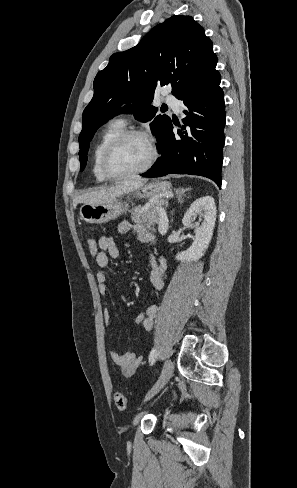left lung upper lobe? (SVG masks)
Listing matches in <instances>:
<instances>
[{
    "label": "left lung upper lobe",
    "mask_w": 297,
    "mask_h": 488,
    "mask_svg": "<svg viewBox=\"0 0 297 488\" xmlns=\"http://www.w3.org/2000/svg\"><path fill=\"white\" fill-rule=\"evenodd\" d=\"M217 56L204 29L191 16L175 15L155 26L138 45L115 53L94 79V96L83 112L79 135L80 170L87 163L89 142L109 118L134 113L142 122L152 120V132L160 147L171 123L167 115H156L150 105L157 85L172 86V94L183 99L201 87L217 71Z\"/></svg>",
    "instance_id": "obj_1"
}]
</instances>
